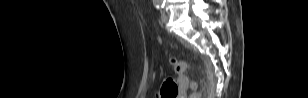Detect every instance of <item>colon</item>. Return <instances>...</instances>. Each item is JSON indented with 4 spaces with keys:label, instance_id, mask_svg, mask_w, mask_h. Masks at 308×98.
I'll return each instance as SVG.
<instances>
[{
    "label": "colon",
    "instance_id": "colon-1",
    "mask_svg": "<svg viewBox=\"0 0 308 98\" xmlns=\"http://www.w3.org/2000/svg\"><path fill=\"white\" fill-rule=\"evenodd\" d=\"M171 64L178 74L184 75L188 73V65L185 61L172 59ZM190 87L192 89L190 98H200L201 93L197 91V84L194 81L190 83ZM177 93L178 88L176 82L173 79H167L162 84L159 96L161 98H176Z\"/></svg>",
    "mask_w": 308,
    "mask_h": 98
}]
</instances>
